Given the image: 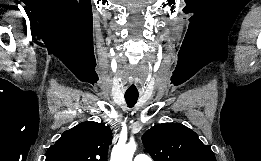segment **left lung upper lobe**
I'll list each match as a JSON object with an SVG mask.
<instances>
[{
    "mask_svg": "<svg viewBox=\"0 0 261 161\" xmlns=\"http://www.w3.org/2000/svg\"><path fill=\"white\" fill-rule=\"evenodd\" d=\"M146 151L154 161H216L210 145L180 123H162L142 136Z\"/></svg>",
    "mask_w": 261,
    "mask_h": 161,
    "instance_id": "1",
    "label": "left lung upper lobe"
}]
</instances>
